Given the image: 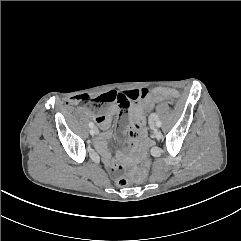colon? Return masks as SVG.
I'll return each mask as SVG.
<instances>
[{
  "instance_id": "1",
  "label": "colon",
  "mask_w": 241,
  "mask_h": 241,
  "mask_svg": "<svg viewBox=\"0 0 241 241\" xmlns=\"http://www.w3.org/2000/svg\"><path fill=\"white\" fill-rule=\"evenodd\" d=\"M111 103H116L119 105L121 109L120 119L122 122H124V115L130 103L127 99V96L122 97L113 93H106L97 97H92L89 95H79L69 100L68 108L72 113H81L84 111L98 113L104 111L106 107ZM161 104H168L169 106H171L172 109H175L176 99L168 96H162L152 99L144 106L143 114L149 115L150 113H153ZM141 148L143 150H149L151 148V143L149 141H143L141 143ZM143 174L144 173L142 172L141 175ZM117 184L120 186H125L127 184V180L125 178L119 177L117 179Z\"/></svg>"
}]
</instances>
